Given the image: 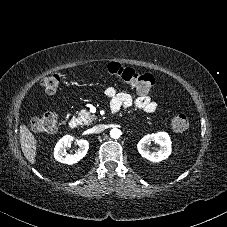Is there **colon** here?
I'll return each instance as SVG.
<instances>
[{"instance_id":"1","label":"colon","mask_w":227,"mask_h":227,"mask_svg":"<svg viewBox=\"0 0 227 227\" xmlns=\"http://www.w3.org/2000/svg\"><path fill=\"white\" fill-rule=\"evenodd\" d=\"M109 75L121 80L126 85L134 88L139 93H147L153 87L155 80L149 73L135 71L132 68H126L116 62L107 65ZM62 83V75L60 73H52L42 80V86L48 93L56 92ZM59 116L55 112H48L42 116L35 117L31 121V126L38 133H51L58 124ZM173 130L177 132L185 131L189 126L188 116L179 111L171 122Z\"/></svg>"}]
</instances>
